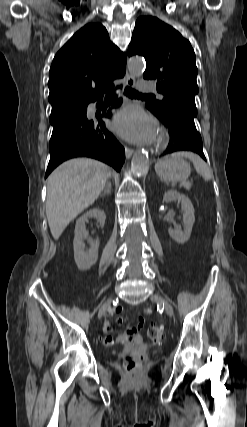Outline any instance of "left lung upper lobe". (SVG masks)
Instances as JSON below:
<instances>
[{
  "label": "left lung upper lobe",
  "mask_w": 247,
  "mask_h": 427,
  "mask_svg": "<svg viewBox=\"0 0 247 427\" xmlns=\"http://www.w3.org/2000/svg\"><path fill=\"white\" fill-rule=\"evenodd\" d=\"M128 56L141 55L147 66L145 79L157 81L162 101H152L146 107L159 119L181 113L197 116L195 95L198 93L195 53L188 40L173 27L156 17L137 19L129 44Z\"/></svg>",
  "instance_id": "left-lung-upper-lobe-1"
}]
</instances>
